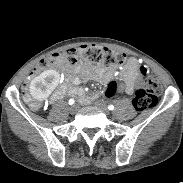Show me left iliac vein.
Returning <instances> with one entry per match:
<instances>
[{
    "label": "left iliac vein",
    "mask_w": 183,
    "mask_h": 183,
    "mask_svg": "<svg viewBox=\"0 0 183 183\" xmlns=\"http://www.w3.org/2000/svg\"><path fill=\"white\" fill-rule=\"evenodd\" d=\"M95 106H97L98 108H100L105 114H109V111L107 109V107L101 103V102H96Z\"/></svg>",
    "instance_id": "4c4485c4"
}]
</instances>
